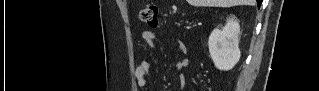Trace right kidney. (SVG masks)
I'll return each mask as SVG.
<instances>
[{"label":"right kidney","mask_w":319,"mask_h":91,"mask_svg":"<svg viewBox=\"0 0 319 91\" xmlns=\"http://www.w3.org/2000/svg\"><path fill=\"white\" fill-rule=\"evenodd\" d=\"M239 32L240 27L234 17L228 18L222 29L212 31L208 40L209 53L219 70H231L239 61Z\"/></svg>","instance_id":"right-kidney-1"}]
</instances>
